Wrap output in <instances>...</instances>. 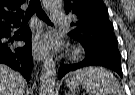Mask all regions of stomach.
<instances>
[{
	"mask_svg": "<svg viewBox=\"0 0 135 95\" xmlns=\"http://www.w3.org/2000/svg\"><path fill=\"white\" fill-rule=\"evenodd\" d=\"M80 82L78 81L77 78L71 77L66 80V86L70 90H76L79 87Z\"/></svg>",
	"mask_w": 135,
	"mask_h": 95,
	"instance_id": "1",
	"label": "stomach"
}]
</instances>
